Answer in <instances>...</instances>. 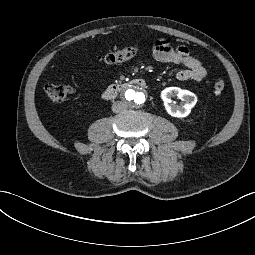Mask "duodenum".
<instances>
[{
    "instance_id": "410a0bca",
    "label": "duodenum",
    "mask_w": 255,
    "mask_h": 255,
    "mask_svg": "<svg viewBox=\"0 0 255 255\" xmlns=\"http://www.w3.org/2000/svg\"><path fill=\"white\" fill-rule=\"evenodd\" d=\"M133 87L147 88V82L142 78H134L129 81L112 84L103 92V98L107 100L114 99L120 92Z\"/></svg>"
}]
</instances>
